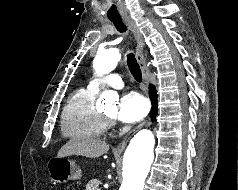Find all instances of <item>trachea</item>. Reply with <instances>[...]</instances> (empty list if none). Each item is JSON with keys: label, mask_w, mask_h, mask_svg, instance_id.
I'll return each mask as SVG.
<instances>
[{"label": "trachea", "mask_w": 238, "mask_h": 190, "mask_svg": "<svg viewBox=\"0 0 238 190\" xmlns=\"http://www.w3.org/2000/svg\"><path fill=\"white\" fill-rule=\"evenodd\" d=\"M110 20L113 22L114 26L116 27V29L119 32L122 33L127 30V28L124 25L121 18H112ZM127 64H128L129 70H130L131 74L133 75L134 79L138 82H141L142 81L141 69H140V66L137 63L133 53H130L127 55Z\"/></svg>", "instance_id": "1"}]
</instances>
